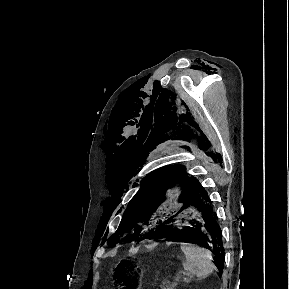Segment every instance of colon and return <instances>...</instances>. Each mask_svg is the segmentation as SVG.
<instances>
[{"instance_id": "obj_1", "label": "colon", "mask_w": 289, "mask_h": 289, "mask_svg": "<svg viewBox=\"0 0 289 289\" xmlns=\"http://www.w3.org/2000/svg\"><path fill=\"white\" fill-rule=\"evenodd\" d=\"M142 273L130 263L114 271V284L117 289H139Z\"/></svg>"}]
</instances>
